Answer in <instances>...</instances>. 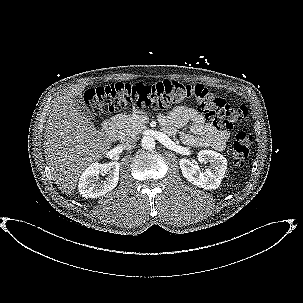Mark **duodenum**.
Returning <instances> with one entry per match:
<instances>
[{
  "mask_svg": "<svg viewBox=\"0 0 303 303\" xmlns=\"http://www.w3.org/2000/svg\"><path fill=\"white\" fill-rule=\"evenodd\" d=\"M113 129H114V124H113L112 121H109V122L106 124V130H107L108 132H112Z\"/></svg>",
  "mask_w": 303,
  "mask_h": 303,
  "instance_id": "duodenum-1",
  "label": "duodenum"
}]
</instances>
